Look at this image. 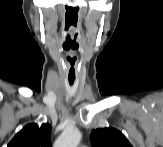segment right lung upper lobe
Returning a JSON list of instances; mask_svg holds the SVG:
<instances>
[{"label":"right lung upper lobe","mask_w":163,"mask_h":147,"mask_svg":"<svg viewBox=\"0 0 163 147\" xmlns=\"http://www.w3.org/2000/svg\"><path fill=\"white\" fill-rule=\"evenodd\" d=\"M51 126L28 124L10 141L8 147H50Z\"/></svg>","instance_id":"obj_1"}]
</instances>
